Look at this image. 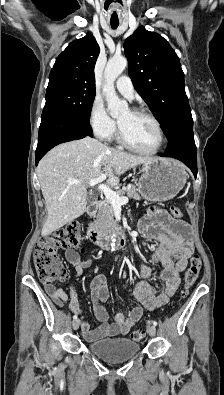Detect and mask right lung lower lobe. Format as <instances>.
Segmentation results:
<instances>
[{
    "label": "right lung lower lobe",
    "mask_w": 224,
    "mask_h": 395,
    "mask_svg": "<svg viewBox=\"0 0 224 395\" xmlns=\"http://www.w3.org/2000/svg\"><path fill=\"white\" fill-rule=\"evenodd\" d=\"M93 136L90 124L53 108L43 109L36 149V165L54 146Z\"/></svg>",
    "instance_id": "98d812e1"
}]
</instances>
